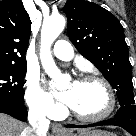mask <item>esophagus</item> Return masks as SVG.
Segmentation results:
<instances>
[{
	"label": "esophagus",
	"instance_id": "esophagus-1",
	"mask_svg": "<svg viewBox=\"0 0 136 136\" xmlns=\"http://www.w3.org/2000/svg\"><path fill=\"white\" fill-rule=\"evenodd\" d=\"M52 130H53L54 133H65V129L59 123L53 124Z\"/></svg>",
	"mask_w": 136,
	"mask_h": 136
}]
</instances>
